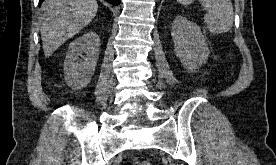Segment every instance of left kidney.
<instances>
[{
  "mask_svg": "<svg viewBox=\"0 0 276 165\" xmlns=\"http://www.w3.org/2000/svg\"><path fill=\"white\" fill-rule=\"evenodd\" d=\"M174 52L183 66L193 72L205 64L209 56L206 37L200 27L183 16L175 17L172 24Z\"/></svg>",
  "mask_w": 276,
  "mask_h": 165,
  "instance_id": "left-kidney-1",
  "label": "left kidney"
}]
</instances>
